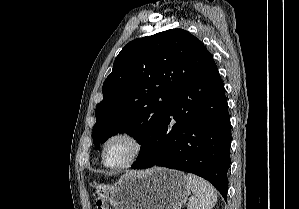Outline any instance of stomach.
Segmentation results:
<instances>
[{
	"mask_svg": "<svg viewBox=\"0 0 299 209\" xmlns=\"http://www.w3.org/2000/svg\"><path fill=\"white\" fill-rule=\"evenodd\" d=\"M93 187L96 197L113 209H181L191 189L183 172L159 167L129 172L113 185L94 183Z\"/></svg>",
	"mask_w": 299,
	"mask_h": 209,
	"instance_id": "stomach-1",
	"label": "stomach"
}]
</instances>
